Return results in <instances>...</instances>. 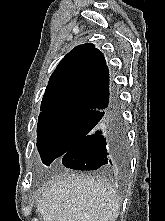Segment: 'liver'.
I'll return each instance as SVG.
<instances>
[{"label": "liver", "mask_w": 165, "mask_h": 221, "mask_svg": "<svg viewBox=\"0 0 165 221\" xmlns=\"http://www.w3.org/2000/svg\"><path fill=\"white\" fill-rule=\"evenodd\" d=\"M116 189L104 179L64 173L37 200L44 221H116Z\"/></svg>", "instance_id": "obj_1"}]
</instances>
